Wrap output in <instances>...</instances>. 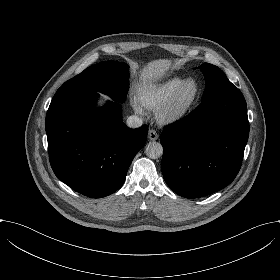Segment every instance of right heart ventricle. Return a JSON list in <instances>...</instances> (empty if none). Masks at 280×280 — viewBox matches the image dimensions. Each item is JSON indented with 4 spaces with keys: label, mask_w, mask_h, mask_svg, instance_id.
I'll return each mask as SVG.
<instances>
[{
    "label": "right heart ventricle",
    "mask_w": 280,
    "mask_h": 280,
    "mask_svg": "<svg viewBox=\"0 0 280 280\" xmlns=\"http://www.w3.org/2000/svg\"><path fill=\"white\" fill-rule=\"evenodd\" d=\"M183 80L181 76H171L157 83L143 82L137 88L136 98L147 109H161L170 101Z\"/></svg>",
    "instance_id": "obj_1"
}]
</instances>
